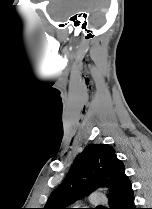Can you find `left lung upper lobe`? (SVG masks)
Wrapping results in <instances>:
<instances>
[{
    "mask_svg": "<svg viewBox=\"0 0 152 209\" xmlns=\"http://www.w3.org/2000/svg\"><path fill=\"white\" fill-rule=\"evenodd\" d=\"M127 179L124 164L110 145H88L77 156L67 177L51 193L43 209H68L69 205L99 187L110 188L113 197Z\"/></svg>",
    "mask_w": 152,
    "mask_h": 209,
    "instance_id": "5c2ea615",
    "label": "left lung upper lobe"
}]
</instances>
